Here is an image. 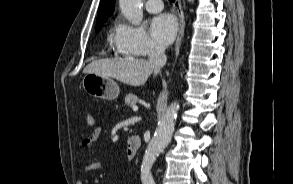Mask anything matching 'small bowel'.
<instances>
[{
	"mask_svg": "<svg viewBox=\"0 0 293 184\" xmlns=\"http://www.w3.org/2000/svg\"><path fill=\"white\" fill-rule=\"evenodd\" d=\"M101 128L95 127L92 132L82 140V146L85 148H90L101 135ZM100 168V163L94 160H89L84 165L80 167L81 173H89L94 172ZM76 184H91L87 179H82L80 177L77 178Z\"/></svg>",
	"mask_w": 293,
	"mask_h": 184,
	"instance_id": "obj_1",
	"label": "small bowel"
}]
</instances>
